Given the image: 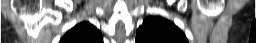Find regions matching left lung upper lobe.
Here are the masks:
<instances>
[{
  "label": "left lung upper lobe",
  "instance_id": "obj_1",
  "mask_svg": "<svg viewBox=\"0 0 256 43\" xmlns=\"http://www.w3.org/2000/svg\"><path fill=\"white\" fill-rule=\"evenodd\" d=\"M136 43H188L186 36L172 22L156 16L144 19L137 30Z\"/></svg>",
  "mask_w": 256,
  "mask_h": 43
}]
</instances>
